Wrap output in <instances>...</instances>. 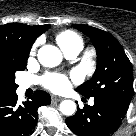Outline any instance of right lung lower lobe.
Wrapping results in <instances>:
<instances>
[{
    "label": "right lung lower lobe",
    "mask_w": 136,
    "mask_h": 136,
    "mask_svg": "<svg viewBox=\"0 0 136 136\" xmlns=\"http://www.w3.org/2000/svg\"><path fill=\"white\" fill-rule=\"evenodd\" d=\"M16 93L0 97V136H28L37 124V110L51 103L50 95L38 90L27 102L17 104Z\"/></svg>",
    "instance_id": "obj_1"
}]
</instances>
